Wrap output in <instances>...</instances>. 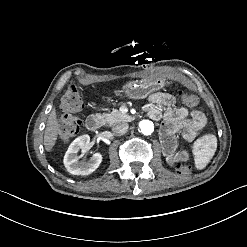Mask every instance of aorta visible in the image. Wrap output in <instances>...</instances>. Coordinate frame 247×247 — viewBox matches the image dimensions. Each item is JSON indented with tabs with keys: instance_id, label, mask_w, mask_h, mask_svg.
<instances>
[{
	"instance_id": "1",
	"label": "aorta",
	"mask_w": 247,
	"mask_h": 247,
	"mask_svg": "<svg viewBox=\"0 0 247 247\" xmlns=\"http://www.w3.org/2000/svg\"><path fill=\"white\" fill-rule=\"evenodd\" d=\"M139 127L144 135H151L154 131V125L149 120H142L139 123Z\"/></svg>"
}]
</instances>
